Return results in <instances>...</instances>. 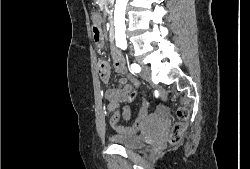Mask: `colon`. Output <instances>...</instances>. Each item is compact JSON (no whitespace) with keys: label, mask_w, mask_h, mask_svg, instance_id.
<instances>
[{"label":"colon","mask_w":250,"mask_h":169,"mask_svg":"<svg viewBox=\"0 0 250 169\" xmlns=\"http://www.w3.org/2000/svg\"><path fill=\"white\" fill-rule=\"evenodd\" d=\"M92 35L93 40L96 45H98V50H103V35L100 28V22L99 17L95 16L93 18V25H92ZM136 93L134 91H129V98L132 99ZM141 111H138V116L136 122L132 126V132H137L143 129L145 124V119L147 116V105H148V99L147 97H141ZM119 106L117 103H108V108H118ZM176 107H179V110H175V115H178V120H182L183 122H175V126H171L170 134H168V143L176 144L181 143V139H185V131L188 130V127H190V122H188L191 119V116L188 115V111L184 108L183 102H176ZM110 119V124L113 125V128L118 132H126L127 128L117 126V120L120 118V112H113V115Z\"/></svg>","instance_id":"obj_1"}]
</instances>
